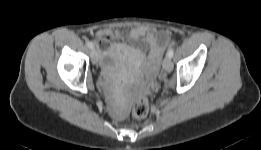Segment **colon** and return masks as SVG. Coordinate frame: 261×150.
I'll return each mask as SVG.
<instances>
[{"label":"colon","mask_w":261,"mask_h":150,"mask_svg":"<svg viewBox=\"0 0 261 150\" xmlns=\"http://www.w3.org/2000/svg\"><path fill=\"white\" fill-rule=\"evenodd\" d=\"M149 113V103L146 98L139 99L133 106L132 114L135 118L143 119Z\"/></svg>","instance_id":"obj_1"}]
</instances>
